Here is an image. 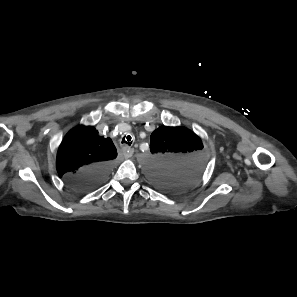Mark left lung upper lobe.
Returning <instances> with one entry per match:
<instances>
[{
	"label": "left lung upper lobe",
	"mask_w": 297,
	"mask_h": 297,
	"mask_svg": "<svg viewBox=\"0 0 297 297\" xmlns=\"http://www.w3.org/2000/svg\"><path fill=\"white\" fill-rule=\"evenodd\" d=\"M151 181L168 191L183 189L202 173L206 160L201 139L183 127L162 126L150 137Z\"/></svg>",
	"instance_id": "obj_1"
}]
</instances>
